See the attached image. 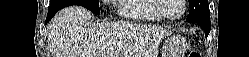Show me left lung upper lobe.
<instances>
[{"instance_id": "1", "label": "left lung upper lobe", "mask_w": 249, "mask_h": 57, "mask_svg": "<svg viewBox=\"0 0 249 57\" xmlns=\"http://www.w3.org/2000/svg\"><path fill=\"white\" fill-rule=\"evenodd\" d=\"M190 12L187 22H206L210 23V11L208 0H189Z\"/></svg>"}]
</instances>
